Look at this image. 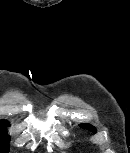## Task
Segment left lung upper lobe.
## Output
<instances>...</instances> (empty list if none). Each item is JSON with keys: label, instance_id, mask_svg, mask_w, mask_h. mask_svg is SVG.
<instances>
[{"label": "left lung upper lobe", "instance_id": "left-lung-upper-lobe-1", "mask_svg": "<svg viewBox=\"0 0 130 153\" xmlns=\"http://www.w3.org/2000/svg\"><path fill=\"white\" fill-rule=\"evenodd\" d=\"M80 126L83 127V128H88L90 131L96 133V129L90 124H82Z\"/></svg>", "mask_w": 130, "mask_h": 153}]
</instances>
